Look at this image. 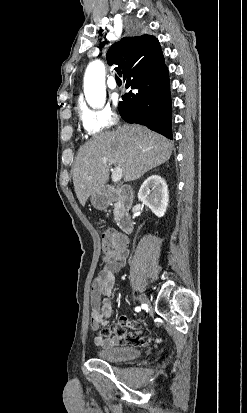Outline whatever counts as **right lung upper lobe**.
Here are the masks:
<instances>
[{"label":"right lung upper lobe","mask_w":247,"mask_h":413,"mask_svg":"<svg viewBox=\"0 0 247 413\" xmlns=\"http://www.w3.org/2000/svg\"><path fill=\"white\" fill-rule=\"evenodd\" d=\"M109 65H118L116 71L124 79L141 75L164 62L160 44L154 36L125 37L114 43L107 52Z\"/></svg>","instance_id":"obj_1"}]
</instances>
